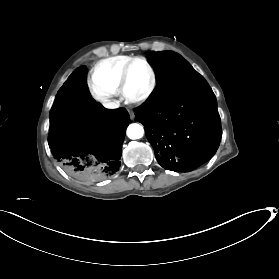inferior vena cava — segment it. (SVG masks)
<instances>
[{
	"mask_svg": "<svg viewBox=\"0 0 279 279\" xmlns=\"http://www.w3.org/2000/svg\"><path fill=\"white\" fill-rule=\"evenodd\" d=\"M110 100H105L104 99V102H105V104H103L106 108H111V109H114V108H117L118 107V101H115V102H109Z\"/></svg>",
	"mask_w": 279,
	"mask_h": 279,
	"instance_id": "obj_1",
	"label": "inferior vena cava"
}]
</instances>
